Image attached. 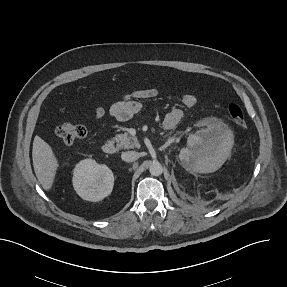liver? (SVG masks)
<instances>
[{
	"label": "liver",
	"mask_w": 287,
	"mask_h": 287,
	"mask_svg": "<svg viewBox=\"0 0 287 287\" xmlns=\"http://www.w3.org/2000/svg\"><path fill=\"white\" fill-rule=\"evenodd\" d=\"M32 159L38 181L44 190H51L59 163L51 146L39 136L33 141Z\"/></svg>",
	"instance_id": "1"
}]
</instances>
